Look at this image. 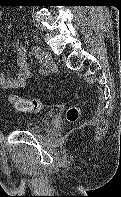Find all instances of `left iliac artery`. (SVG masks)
<instances>
[{
  "mask_svg": "<svg viewBox=\"0 0 121 197\" xmlns=\"http://www.w3.org/2000/svg\"><path fill=\"white\" fill-rule=\"evenodd\" d=\"M40 51H41V48L38 45L33 46V48H32V54L35 57H38L39 56Z\"/></svg>",
  "mask_w": 121,
  "mask_h": 197,
  "instance_id": "44dca946",
  "label": "left iliac artery"
}]
</instances>
